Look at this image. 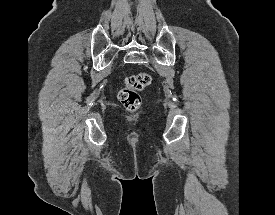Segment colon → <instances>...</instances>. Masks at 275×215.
<instances>
[{
  "label": "colon",
  "instance_id": "obj_1",
  "mask_svg": "<svg viewBox=\"0 0 275 215\" xmlns=\"http://www.w3.org/2000/svg\"><path fill=\"white\" fill-rule=\"evenodd\" d=\"M151 83V76L146 72H140L129 76L124 86L118 92V99L130 112L136 111L141 105L139 92Z\"/></svg>",
  "mask_w": 275,
  "mask_h": 215
}]
</instances>
